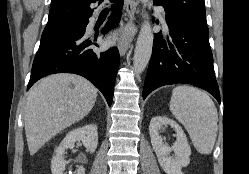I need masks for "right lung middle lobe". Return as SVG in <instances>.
Here are the masks:
<instances>
[{
	"mask_svg": "<svg viewBox=\"0 0 249 174\" xmlns=\"http://www.w3.org/2000/svg\"><path fill=\"white\" fill-rule=\"evenodd\" d=\"M73 22L74 21H70V22H65V23L58 24V25L51 26V27H45V30L42 33L41 43L50 40L55 33H57L58 31H60L61 29L65 27H68Z\"/></svg>",
	"mask_w": 249,
	"mask_h": 174,
	"instance_id": "dd1d6c3e",
	"label": "right lung middle lobe"
}]
</instances>
